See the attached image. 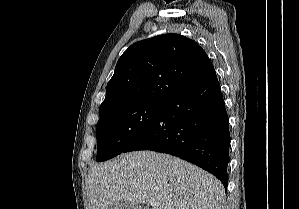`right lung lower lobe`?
<instances>
[{
  "mask_svg": "<svg viewBox=\"0 0 299 209\" xmlns=\"http://www.w3.org/2000/svg\"><path fill=\"white\" fill-rule=\"evenodd\" d=\"M229 120L221 88L210 70L185 81L151 125L123 152L168 153L207 170L228 184Z\"/></svg>",
  "mask_w": 299,
  "mask_h": 209,
  "instance_id": "right-lung-lower-lobe-1",
  "label": "right lung lower lobe"
}]
</instances>
